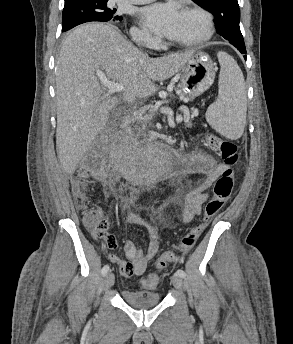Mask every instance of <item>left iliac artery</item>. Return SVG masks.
Masks as SVG:
<instances>
[{
	"instance_id": "left-iliac-artery-1",
	"label": "left iliac artery",
	"mask_w": 293,
	"mask_h": 344,
	"mask_svg": "<svg viewBox=\"0 0 293 344\" xmlns=\"http://www.w3.org/2000/svg\"><path fill=\"white\" fill-rule=\"evenodd\" d=\"M176 275H178V276L184 278L186 274H185V272H184L182 269H178V270L176 271Z\"/></svg>"
}]
</instances>
